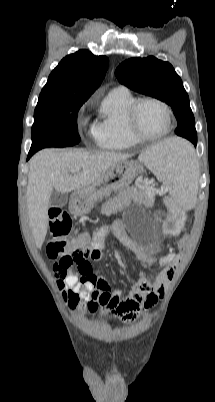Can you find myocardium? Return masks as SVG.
<instances>
[{"label":"myocardium","mask_w":215,"mask_h":402,"mask_svg":"<svg viewBox=\"0 0 215 402\" xmlns=\"http://www.w3.org/2000/svg\"><path fill=\"white\" fill-rule=\"evenodd\" d=\"M155 103L159 105L166 113L168 119L167 129L158 135H148L141 131L138 123V114L141 106L145 103ZM127 126L131 135L140 141H156L168 136L173 127V115L170 107L163 100L156 97H143L136 99L127 112Z\"/></svg>","instance_id":"myocardium-1"}]
</instances>
